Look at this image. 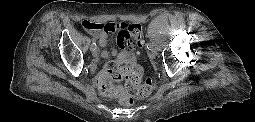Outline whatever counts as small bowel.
<instances>
[{
    "mask_svg": "<svg viewBox=\"0 0 255 122\" xmlns=\"http://www.w3.org/2000/svg\"><path fill=\"white\" fill-rule=\"evenodd\" d=\"M91 35L97 40L100 47H105L108 41V34L105 32H97L91 33ZM116 43L120 50L113 49L111 54L115 57L116 62L118 63H126L131 65H136L137 63V45H135L131 39L125 38L124 36L118 34ZM102 57L107 58L109 56L108 51H102ZM119 92H122V89L119 88ZM102 93V92H101ZM104 94V93H102ZM106 96H113L117 97V95H108Z\"/></svg>",
    "mask_w": 255,
    "mask_h": 122,
    "instance_id": "c3829d8e",
    "label": "small bowel"
}]
</instances>
